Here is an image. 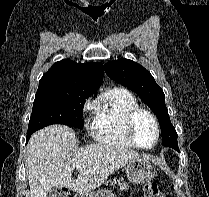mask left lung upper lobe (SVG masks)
Listing matches in <instances>:
<instances>
[{
	"mask_svg": "<svg viewBox=\"0 0 209 197\" xmlns=\"http://www.w3.org/2000/svg\"><path fill=\"white\" fill-rule=\"evenodd\" d=\"M107 75L115 82L136 92L158 118L162 144L177 146V133L170 122L165 95L148 70L129 59H118L104 65Z\"/></svg>",
	"mask_w": 209,
	"mask_h": 197,
	"instance_id": "5c2ea615",
	"label": "left lung upper lobe"
}]
</instances>
